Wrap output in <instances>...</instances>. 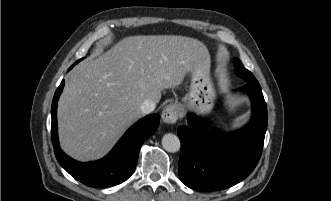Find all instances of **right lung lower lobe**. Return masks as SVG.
Wrapping results in <instances>:
<instances>
[{"label": "right lung lower lobe", "mask_w": 331, "mask_h": 201, "mask_svg": "<svg viewBox=\"0 0 331 201\" xmlns=\"http://www.w3.org/2000/svg\"><path fill=\"white\" fill-rule=\"evenodd\" d=\"M63 86L64 80L56 90L51 108V136L58 162L71 176L91 187L112 186L124 182L131 176L136 167L141 145L157 130L160 115L146 116L134 124L102 160L80 163L63 153L58 144L57 101Z\"/></svg>", "instance_id": "1"}]
</instances>
